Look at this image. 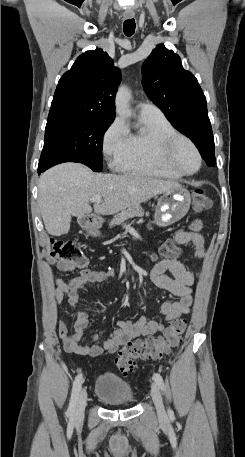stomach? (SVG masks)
<instances>
[{"label": "stomach", "mask_w": 245, "mask_h": 457, "mask_svg": "<svg viewBox=\"0 0 245 457\" xmlns=\"http://www.w3.org/2000/svg\"><path fill=\"white\" fill-rule=\"evenodd\" d=\"M161 194L162 196L158 198L154 222L158 226H168V224H173L185 216L190 208L191 196L189 190L183 186H174V188H169ZM78 222L89 235L98 237V229H100L98 220H90L89 216H79Z\"/></svg>", "instance_id": "0dacf381"}]
</instances>
